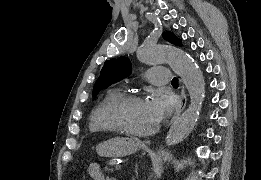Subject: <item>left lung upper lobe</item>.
<instances>
[{
    "label": "left lung upper lobe",
    "mask_w": 261,
    "mask_h": 180,
    "mask_svg": "<svg viewBox=\"0 0 261 180\" xmlns=\"http://www.w3.org/2000/svg\"><path fill=\"white\" fill-rule=\"evenodd\" d=\"M164 39L177 46H181L182 42L172 32L163 33ZM131 73V63L125 57L111 59L105 62L99 79L96 81L93 90V96H96L103 88L109 87Z\"/></svg>",
    "instance_id": "left-lung-upper-lobe-1"
}]
</instances>
